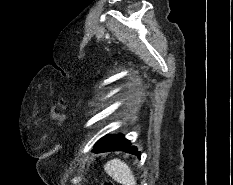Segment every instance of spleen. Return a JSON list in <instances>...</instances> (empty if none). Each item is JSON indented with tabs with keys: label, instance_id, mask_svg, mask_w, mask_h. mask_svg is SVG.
<instances>
[{
	"label": "spleen",
	"instance_id": "spleen-1",
	"mask_svg": "<svg viewBox=\"0 0 233 185\" xmlns=\"http://www.w3.org/2000/svg\"><path fill=\"white\" fill-rule=\"evenodd\" d=\"M105 172L116 182L123 185H136L131 168L120 159H112L104 165Z\"/></svg>",
	"mask_w": 233,
	"mask_h": 185
}]
</instances>
